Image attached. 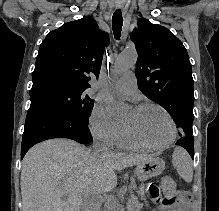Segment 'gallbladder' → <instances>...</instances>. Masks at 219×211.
<instances>
[{
  "label": "gallbladder",
  "instance_id": "gallbladder-1",
  "mask_svg": "<svg viewBox=\"0 0 219 211\" xmlns=\"http://www.w3.org/2000/svg\"><path fill=\"white\" fill-rule=\"evenodd\" d=\"M66 195H63V199H65Z\"/></svg>",
  "mask_w": 219,
  "mask_h": 211
}]
</instances>
